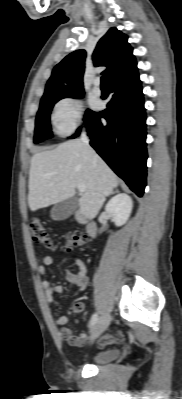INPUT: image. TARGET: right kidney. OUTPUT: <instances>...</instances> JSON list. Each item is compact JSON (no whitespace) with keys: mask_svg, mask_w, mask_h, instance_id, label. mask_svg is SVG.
<instances>
[{"mask_svg":"<svg viewBox=\"0 0 182 399\" xmlns=\"http://www.w3.org/2000/svg\"><path fill=\"white\" fill-rule=\"evenodd\" d=\"M133 202L129 195L119 193L109 200L105 210L111 215L117 227L124 225L132 212Z\"/></svg>","mask_w":182,"mask_h":399,"instance_id":"ca27d5eb","label":"right kidney"}]
</instances>
